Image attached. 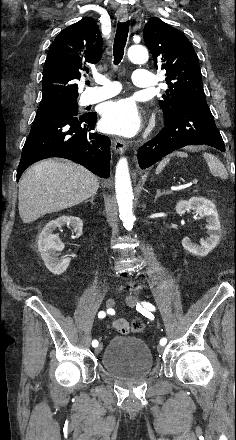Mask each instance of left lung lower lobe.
<instances>
[{"label":"left lung lower lobe","mask_w":236,"mask_h":440,"mask_svg":"<svg viewBox=\"0 0 236 440\" xmlns=\"http://www.w3.org/2000/svg\"><path fill=\"white\" fill-rule=\"evenodd\" d=\"M165 127L139 148L137 158L146 169L169 153L187 145H209L225 152L223 139L215 125L206 98L190 99L175 114L165 118Z\"/></svg>","instance_id":"left-lung-lower-lobe-1"}]
</instances>
